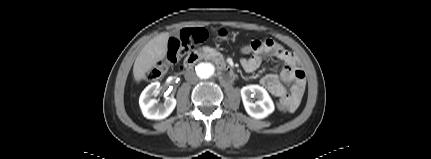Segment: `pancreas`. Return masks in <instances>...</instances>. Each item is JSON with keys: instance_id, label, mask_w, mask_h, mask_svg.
Wrapping results in <instances>:
<instances>
[{"instance_id": "obj_1", "label": "pancreas", "mask_w": 431, "mask_h": 159, "mask_svg": "<svg viewBox=\"0 0 431 159\" xmlns=\"http://www.w3.org/2000/svg\"><path fill=\"white\" fill-rule=\"evenodd\" d=\"M203 52H204L205 56L208 58L214 57V56H220L219 52H217L215 49L207 47V46L203 47Z\"/></svg>"}]
</instances>
